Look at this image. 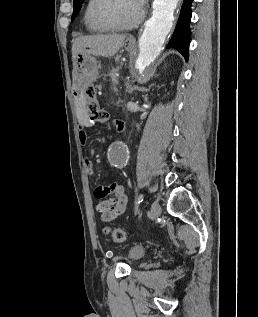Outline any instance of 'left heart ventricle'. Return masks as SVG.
Instances as JSON below:
<instances>
[{
  "label": "left heart ventricle",
  "instance_id": "b2bd125f",
  "mask_svg": "<svg viewBox=\"0 0 258 317\" xmlns=\"http://www.w3.org/2000/svg\"><path fill=\"white\" fill-rule=\"evenodd\" d=\"M103 13L108 20L123 28L134 25L138 17L136 6L128 1L111 4L104 9Z\"/></svg>",
  "mask_w": 258,
  "mask_h": 317
}]
</instances>
